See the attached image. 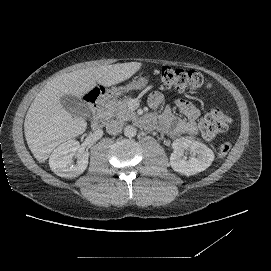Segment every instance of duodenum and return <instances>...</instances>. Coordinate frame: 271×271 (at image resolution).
<instances>
[{
	"label": "duodenum",
	"instance_id": "410a0bca",
	"mask_svg": "<svg viewBox=\"0 0 271 271\" xmlns=\"http://www.w3.org/2000/svg\"><path fill=\"white\" fill-rule=\"evenodd\" d=\"M111 119V109L109 106V101L104 100L98 109V113L93 122L94 129H101L107 127L108 129H113L115 127L114 124L110 123Z\"/></svg>",
	"mask_w": 271,
	"mask_h": 271
}]
</instances>
